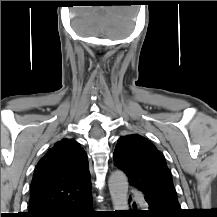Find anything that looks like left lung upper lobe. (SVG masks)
Here are the masks:
<instances>
[{
    "mask_svg": "<svg viewBox=\"0 0 217 217\" xmlns=\"http://www.w3.org/2000/svg\"><path fill=\"white\" fill-rule=\"evenodd\" d=\"M115 165L123 170L129 183L143 192L145 199H152L166 207L179 212L172 176L164 156L146 138L126 135L118 139L114 151Z\"/></svg>",
    "mask_w": 217,
    "mask_h": 217,
    "instance_id": "1",
    "label": "left lung upper lobe"
}]
</instances>
